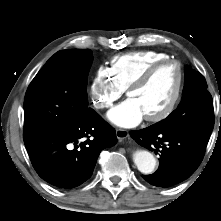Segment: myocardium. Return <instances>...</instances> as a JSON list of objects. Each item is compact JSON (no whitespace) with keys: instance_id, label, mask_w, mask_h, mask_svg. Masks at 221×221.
Wrapping results in <instances>:
<instances>
[{"instance_id":"myocardium-1","label":"myocardium","mask_w":221,"mask_h":221,"mask_svg":"<svg viewBox=\"0 0 221 221\" xmlns=\"http://www.w3.org/2000/svg\"><path fill=\"white\" fill-rule=\"evenodd\" d=\"M167 65H174L178 71V82L177 87L169 104L164 108L161 112L145 116V120L148 122H160L166 118H168L176 109L183 93L184 83H185V72L183 65L175 59H165L158 61L152 65H150L128 88H127V95L129 96L130 93L134 90L140 89L145 86L153 75L160 70L161 68Z\"/></svg>"}]
</instances>
